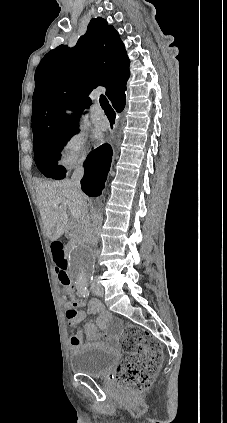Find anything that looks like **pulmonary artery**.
<instances>
[{
	"label": "pulmonary artery",
	"instance_id": "obj_1",
	"mask_svg": "<svg viewBox=\"0 0 227 423\" xmlns=\"http://www.w3.org/2000/svg\"><path fill=\"white\" fill-rule=\"evenodd\" d=\"M90 119L97 129L104 130L109 126V121L100 107H93L90 110Z\"/></svg>",
	"mask_w": 227,
	"mask_h": 423
}]
</instances>
